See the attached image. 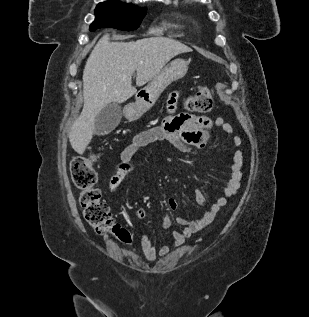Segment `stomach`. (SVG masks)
<instances>
[{"label": "stomach", "instance_id": "1", "mask_svg": "<svg viewBox=\"0 0 309 317\" xmlns=\"http://www.w3.org/2000/svg\"><path fill=\"white\" fill-rule=\"evenodd\" d=\"M187 70L188 62L184 59H175L167 64L146 87L137 92L136 101L125 107V117L129 121L139 119L155 104L166 87L183 78Z\"/></svg>", "mask_w": 309, "mask_h": 317}]
</instances>
